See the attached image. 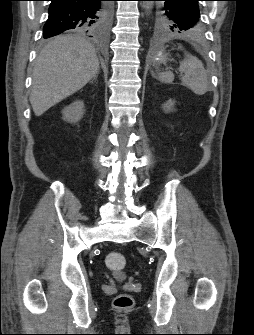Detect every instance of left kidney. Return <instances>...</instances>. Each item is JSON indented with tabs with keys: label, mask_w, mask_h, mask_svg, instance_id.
I'll return each instance as SVG.
<instances>
[{
	"label": "left kidney",
	"mask_w": 254,
	"mask_h": 335,
	"mask_svg": "<svg viewBox=\"0 0 254 335\" xmlns=\"http://www.w3.org/2000/svg\"><path fill=\"white\" fill-rule=\"evenodd\" d=\"M174 104H175V101L170 99L166 103H164L162 107L165 112H170L173 110Z\"/></svg>",
	"instance_id": "left-kidney-1"
}]
</instances>
